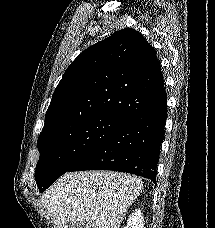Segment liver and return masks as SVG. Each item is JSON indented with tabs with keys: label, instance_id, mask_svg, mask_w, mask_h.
<instances>
[{
	"label": "liver",
	"instance_id": "6515ba94",
	"mask_svg": "<svg viewBox=\"0 0 215 228\" xmlns=\"http://www.w3.org/2000/svg\"><path fill=\"white\" fill-rule=\"evenodd\" d=\"M142 188L132 174L67 172L46 190L42 204L56 228H121L123 214Z\"/></svg>",
	"mask_w": 215,
	"mask_h": 228
}]
</instances>
